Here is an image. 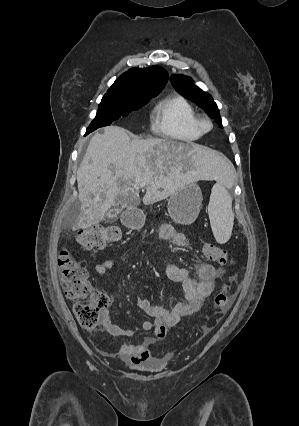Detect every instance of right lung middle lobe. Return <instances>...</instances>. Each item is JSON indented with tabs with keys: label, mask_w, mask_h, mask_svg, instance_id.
I'll list each match as a JSON object with an SVG mask.
<instances>
[{
	"label": "right lung middle lobe",
	"mask_w": 299,
	"mask_h": 426,
	"mask_svg": "<svg viewBox=\"0 0 299 426\" xmlns=\"http://www.w3.org/2000/svg\"><path fill=\"white\" fill-rule=\"evenodd\" d=\"M159 92L160 91H147L133 99L122 98L106 93L98 106L95 119L87 128L86 134H89L99 127L110 125L120 117L127 116L133 110L140 109L151 97H155Z\"/></svg>",
	"instance_id": "1"
}]
</instances>
